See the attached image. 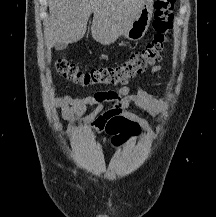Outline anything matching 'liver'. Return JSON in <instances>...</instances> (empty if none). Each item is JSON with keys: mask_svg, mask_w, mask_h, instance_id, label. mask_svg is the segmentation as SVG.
Returning a JSON list of instances; mask_svg holds the SVG:
<instances>
[{"mask_svg": "<svg viewBox=\"0 0 216 217\" xmlns=\"http://www.w3.org/2000/svg\"><path fill=\"white\" fill-rule=\"evenodd\" d=\"M144 0H49L46 44L81 40L93 13L92 37L103 45L114 43L138 14Z\"/></svg>", "mask_w": 216, "mask_h": 217, "instance_id": "obj_1", "label": "liver"}]
</instances>
